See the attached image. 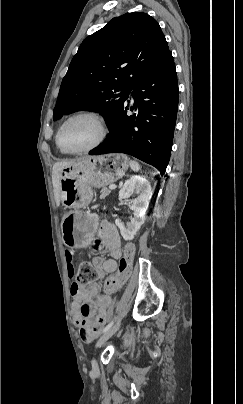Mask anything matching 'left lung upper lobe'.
<instances>
[{"label": "left lung upper lobe", "instance_id": "1", "mask_svg": "<svg viewBox=\"0 0 243 404\" xmlns=\"http://www.w3.org/2000/svg\"><path fill=\"white\" fill-rule=\"evenodd\" d=\"M169 52L158 22L148 14L113 18L80 45L63 78L54 119L89 110L103 115L109 126L136 82Z\"/></svg>", "mask_w": 243, "mask_h": 404}]
</instances>
